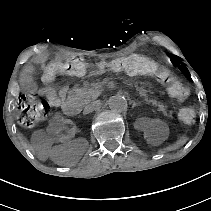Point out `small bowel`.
Segmentation results:
<instances>
[{
  "instance_id": "c3829d8e",
  "label": "small bowel",
  "mask_w": 211,
  "mask_h": 211,
  "mask_svg": "<svg viewBox=\"0 0 211 211\" xmlns=\"http://www.w3.org/2000/svg\"><path fill=\"white\" fill-rule=\"evenodd\" d=\"M48 56L44 53L37 55L33 62L28 64L21 75V84L27 90L34 89V75L36 72V67L46 63ZM100 73L102 71H95ZM68 88L63 86L59 89L44 88L40 91V94L45 96L53 106H60L64 103L67 95Z\"/></svg>"
}]
</instances>
